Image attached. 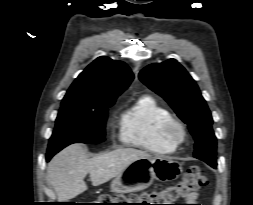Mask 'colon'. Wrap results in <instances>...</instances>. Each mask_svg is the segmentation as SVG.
I'll return each instance as SVG.
<instances>
[{
  "mask_svg": "<svg viewBox=\"0 0 253 205\" xmlns=\"http://www.w3.org/2000/svg\"><path fill=\"white\" fill-rule=\"evenodd\" d=\"M206 185V178L198 166L187 170L182 179L160 190L145 192L140 195H109L99 198V205H177L180 199L189 198Z\"/></svg>",
  "mask_w": 253,
  "mask_h": 205,
  "instance_id": "5ec220e1",
  "label": "colon"
}]
</instances>
